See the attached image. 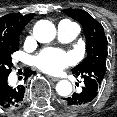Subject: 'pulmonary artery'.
<instances>
[{"instance_id": "e3ab8cb5", "label": "pulmonary artery", "mask_w": 117, "mask_h": 117, "mask_svg": "<svg viewBox=\"0 0 117 117\" xmlns=\"http://www.w3.org/2000/svg\"><path fill=\"white\" fill-rule=\"evenodd\" d=\"M80 28L77 24L70 21H61L57 27L58 39L61 42H70L79 34Z\"/></svg>"}]
</instances>
